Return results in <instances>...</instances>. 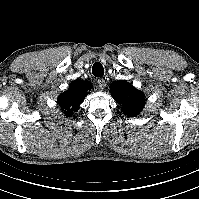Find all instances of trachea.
<instances>
[{
  "label": "trachea",
  "mask_w": 199,
  "mask_h": 199,
  "mask_svg": "<svg viewBox=\"0 0 199 199\" xmlns=\"http://www.w3.org/2000/svg\"><path fill=\"white\" fill-rule=\"evenodd\" d=\"M92 73L95 77H102L104 75V68L103 66L99 63L96 62L93 67H92Z\"/></svg>",
  "instance_id": "3493384b"
}]
</instances>
